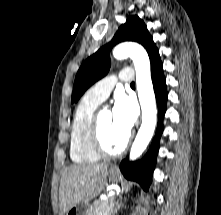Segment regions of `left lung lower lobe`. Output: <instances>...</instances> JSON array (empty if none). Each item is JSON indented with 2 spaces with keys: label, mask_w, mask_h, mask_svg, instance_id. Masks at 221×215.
I'll list each match as a JSON object with an SVG mask.
<instances>
[{
  "label": "left lung lower lobe",
  "mask_w": 221,
  "mask_h": 215,
  "mask_svg": "<svg viewBox=\"0 0 221 215\" xmlns=\"http://www.w3.org/2000/svg\"><path fill=\"white\" fill-rule=\"evenodd\" d=\"M150 61L152 82L159 112L157 132L149 148V151L141 161L133 163L125 159L120 164V170L123 175L129 180H134L141 184L145 190H147L150 185L151 175L159 150V139L163 132L162 120L166 111L167 101L166 82L163 75V65L159 56V52Z\"/></svg>",
  "instance_id": "left-lung-lower-lobe-1"
}]
</instances>
